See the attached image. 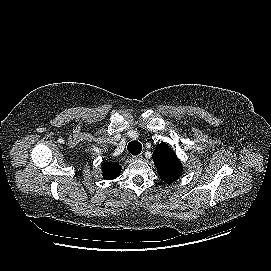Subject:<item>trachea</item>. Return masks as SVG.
<instances>
[{
  "mask_svg": "<svg viewBox=\"0 0 271 271\" xmlns=\"http://www.w3.org/2000/svg\"><path fill=\"white\" fill-rule=\"evenodd\" d=\"M127 150L129 151V153H131L133 155H137V154L141 153L142 145L138 141H131L127 146Z\"/></svg>",
  "mask_w": 271,
  "mask_h": 271,
  "instance_id": "trachea-1",
  "label": "trachea"
}]
</instances>
